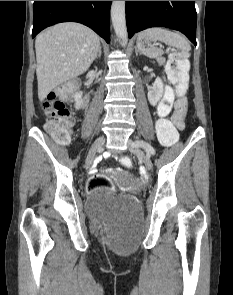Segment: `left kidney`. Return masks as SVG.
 Segmentation results:
<instances>
[{"label":"left kidney","instance_id":"obj_1","mask_svg":"<svg viewBox=\"0 0 233 295\" xmlns=\"http://www.w3.org/2000/svg\"><path fill=\"white\" fill-rule=\"evenodd\" d=\"M164 85L161 78H157L151 88L148 91L147 97L152 106H155L163 96Z\"/></svg>","mask_w":233,"mask_h":295}]
</instances>
